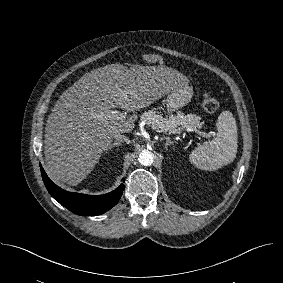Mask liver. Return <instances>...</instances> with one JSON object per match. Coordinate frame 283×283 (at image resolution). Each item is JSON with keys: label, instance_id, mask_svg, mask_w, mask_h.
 Masks as SVG:
<instances>
[{"label": "liver", "instance_id": "1", "mask_svg": "<svg viewBox=\"0 0 283 283\" xmlns=\"http://www.w3.org/2000/svg\"><path fill=\"white\" fill-rule=\"evenodd\" d=\"M184 77L161 66L110 64L84 74L55 103L45 127L46 172L75 186L92 171L117 133H129L137 115L99 119L114 108L134 112L168 94Z\"/></svg>", "mask_w": 283, "mask_h": 283}]
</instances>
